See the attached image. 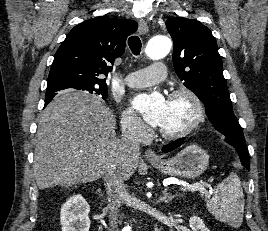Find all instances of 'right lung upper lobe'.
<instances>
[{
	"mask_svg": "<svg viewBox=\"0 0 268 231\" xmlns=\"http://www.w3.org/2000/svg\"><path fill=\"white\" fill-rule=\"evenodd\" d=\"M137 27L133 20L105 16L75 26L54 56L47 89L107 87L103 76H107L114 60L124 53L126 39ZM55 94L48 93L45 103Z\"/></svg>",
	"mask_w": 268,
	"mask_h": 231,
	"instance_id": "right-lung-upper-lobe-1",
	"label": "right lung upper lobe"
}]
</instances>
